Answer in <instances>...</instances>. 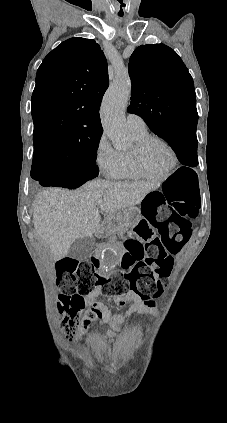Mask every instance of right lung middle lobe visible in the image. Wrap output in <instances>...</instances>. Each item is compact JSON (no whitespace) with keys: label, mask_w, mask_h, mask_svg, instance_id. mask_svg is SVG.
<instances>
[{"label":"right lung middle lobe","mask_w":227,"mask_h":423,"mask_svg":"<svg viewBox=\"0 0 227 423\" xmlns=\"http://www.w3.org/2000/svg\"><path fill=\"white\" fill-rule=\"evenodd\" d=\"M100 138L101 134H95L66 145L34 149L31 175L34 174L36 164L53 160L65 169L76 171L81 176L97 177L99 169L95 160Z\"/></svg>","instance_id":"obj_1"}]
</instances>
